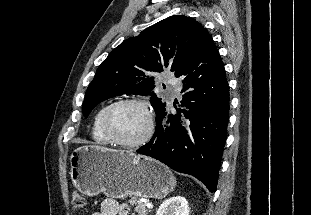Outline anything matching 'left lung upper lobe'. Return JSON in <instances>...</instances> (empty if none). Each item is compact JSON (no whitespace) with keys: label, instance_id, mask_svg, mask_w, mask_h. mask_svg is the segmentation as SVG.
<instances>
[{"label":"left lung upper lobe","instance_id":"obj_1","mask_svg":"<svg viewBox=\"0 0 311 215\" xmlns=\"http://www.w3.org/2000/svg\"><path fill=\"white\" fill-rule=\"evenodd\" d=\"M209 35L196 20L170 16L124 40L98 67L82 105L87 117L100 102L122 94L150 95L157 113L166 104L153 92V74L164 67L177 72Z\"/></svg>","mask_w":311,"mask_h":215}]
</instances>
